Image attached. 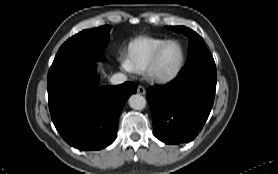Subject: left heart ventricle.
Wrapping results in <instances>:
<instances>
[{
  "instance_id": "b2bd125f",
  "label": "left heart ventricle",
  "mask_w": 278,
  "mask_h": 174,
  "mask_svg": "<svg viewBox=\"0 0 278 174\" xmlns=\"http://www.w3.org/2000/svg\"><path fill=\"white\" fill-rule=\"evenodd\" d=\"M181 50L177 44H169L164 48L158 60V70L161 73L172 72L179 64Z\"/></svg>"
}]
</instances>
